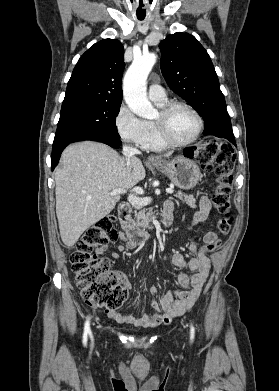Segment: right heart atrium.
Instances as JSON below:
<instances>
[{
	"instance_id": "obj_1",
	"label": "right heart atrium",
	"mask_w": 279,
	"mask_h": 391,
	"mask_svg": "<svg viewBox=\"0 0 279 391\" xmlns=\"http://www.w3.org/2000/svg\"><path fill=\"white\" fill-rule=\"evenodd\" d=\"M114 124L123 141L142 146L146 136L144 121L137 117L127 105L123 104L119 107Z\"/></svg>"
}]
</instances>
